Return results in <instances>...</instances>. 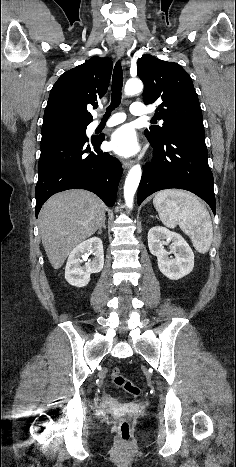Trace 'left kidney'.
Returning a JSON list of instances; mask_svg holds the SVG:
<instances>
[{"instance_id":"obj_1","label":"left kidney","mask_w":236,"mask_h":467,"mask_svg":"<svg viewBox=\"0 0 236 467\" xmlns=\"http://www.w3.org/2000/svg\"><path fill=\"white\" fill-rule=\"evenodd\" d=\"M170 242L168 252L164 245ZM148 246L151 254L157 257L159 270L167 278L178 280L193 270L194 253L180 234L155 226L148 232ZM170 254L174 257H169Z\"/></svg>"}]
</instances>
